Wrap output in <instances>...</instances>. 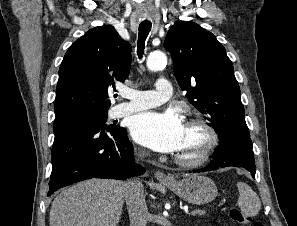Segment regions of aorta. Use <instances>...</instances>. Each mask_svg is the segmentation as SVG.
Instances as JSON below:
<instances>
[{
  "instance_id": "762f6f07",
  "label": "aorta",
  "mask_w": 297,
  "mask_h": 226,
  "mask_svg": "<svg viewBox=\"0 0 297 226\" xmlns=\"http://www.w3.org/2000/svg\"><path fill=\"white\" fill-rule=\"evenodd\" d=\"M166 63H167V57L161 51L150 53L146 62L148 69L151 71H157L161 69L166 65Z\"/></svg>"
}]
</instances>
